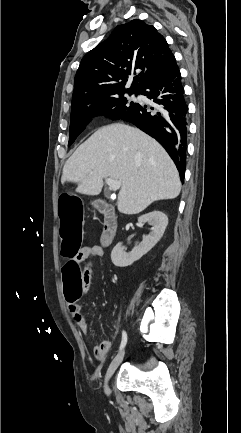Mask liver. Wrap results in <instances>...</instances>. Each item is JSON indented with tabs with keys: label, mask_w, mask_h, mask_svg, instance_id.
Here are the masks:
<instances>
[{
	"label": "liver",
	"mask_w": 241,
	"mask_h": 433,
	"mask_svg": "<svg viewBox=\"0 0 241 433\" xmlns=\"http://www.w3.org/2000/svg\"><path fill=\"white\" fill-rule=\"evenodd\" d=\"M121 181L117 208L138 214L157 200L176 198L181 191L178 170L165 149L129 125L98 129L66 161L61 183H78L76 192L98 195L103 179Z\"/></svg>",
	"instance_id": "obj_1"
}]
</instances>
